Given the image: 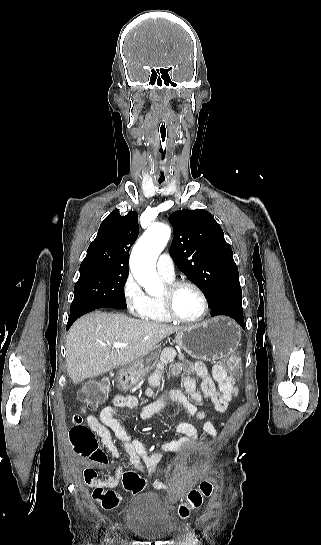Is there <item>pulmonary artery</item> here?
<instances>
[{"label":"pulmonary artery","mask_w":321,"mask_h":545,"mask_svg":"<svg viewBox=\"0 0 321 545\" xmlns=\"http://www.w3.org/2000/svg\"><path fill=\"white\" fill-rule=\"evenodd\" d=\"M158 273L167 280H172L175 277L174 263L170 255L166 252L162 253L157 260Z\"/></svg>","instance_id":"1"}]
</instances>
